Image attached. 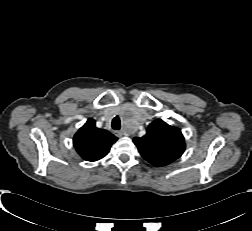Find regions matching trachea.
I'll return each mask as SVG.
<instances>
[{"label": "trachea", "instance_id": "1", "mask_svg": "<svg viewBox=\"0 0 252 231\" xmlns=\"http://www.w3.org/2000/svg\"><path fill=\"white\" fill-rule=\"evenodd\" d=\"M121 127V121L119 116L114 117V119L112 120V128L115 130H119Z\"/></svg>", "mask_w": 252, "mask_h": 231}]
</instances>
